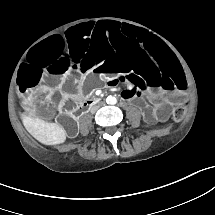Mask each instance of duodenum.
I'll return each mask as SVG.
<instances>
[{
    "instance_id": "obj_1",
    "label": "duodenum",
    "mask_w": 215,
    "mask_h": 215,
    "mask_svg": "<svg viewBox=\"0 0 215 215\" xmlns=\"http://www.w3.org/2000/svg\"><path fill=\"white\" fill-rule=\"evenodd\" d=\"M100 102H101L100 97H92L85 102V107L89 108V107L97 106L100 104Z\"/></svg>"
}]
</instances>
